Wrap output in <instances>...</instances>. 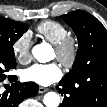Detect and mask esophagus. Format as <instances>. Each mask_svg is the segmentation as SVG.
<instances>
[{
    "label": "esophagus",
    "mask_w": 107,
    "mask_h": 107,
    "mask_svg": "<svg viewBox=\"0 0 107 107\" xmlns=\"http://www.w3.org/2000/svg\"><path fill=\"white\" fill-rule=\"evenodd\" d=\"M46 91H48V89L45 88V87H39V89H38V92H39L40 94L45 93Z\"/></svg>",
    "instance_id": "esophagus-1"
}]
</instances>
